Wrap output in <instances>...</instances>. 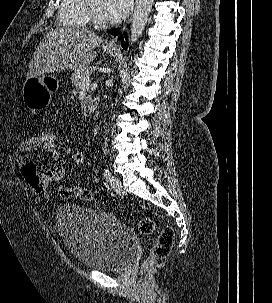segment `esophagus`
<instances>
[{
	"label": "esophagus",
	"mask_w": 272,
	"mask_h": 303,
	"mask_svg": "<svg viewBox=\"0 0 272 303\" xmlns=\"http://www.w3.org/2000/svg\"><path fill=\"white\" fill-rule=\"evenodd\" d=\"M106 46L116 47L117 46V39L116 38L110 39L109 41L106 42Z\"/></svg>",
	"instance_id": "34e87169"
}]
</instances>
